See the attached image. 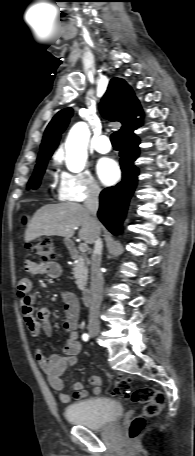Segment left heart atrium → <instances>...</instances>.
I'll return each instance as SVG.
<instances>
[{
  "label": "left heart atrium",
  "instance_id": "obj_1",
  "mask_svg": "<svg viewBox=\"0 0 195 456\" xmlns=\"http://www.w3.org/2000/svg\"><path fill=\"white\" fill-rule=\"evenodd\" d=\"M96 172L103 184L111 185L118 179L119 167L113 159L102 158L97 162Z\"/></svg>",
  "mask_w": 195,
  "mask_h": 456
}]
</instances>
